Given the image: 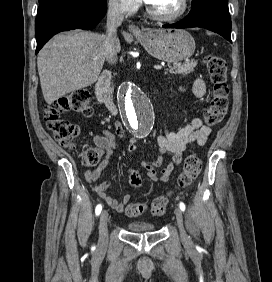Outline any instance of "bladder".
<instances>
[{"label":"bladder","instance_id":"bladder-1","mask_svg":"<svg viewBox=\"0 0 272 282\" xmlns=\"http://www.w3.org/2000/svg\"><path fill=\"white\" fill-rule=\"evenodd\" d=\"M127 227L134 233L153 231L155 229V225L153 223L145 221H130L127 224Z\"/></svg>","mask_w":272,"mask_h":282}]
</instances>
